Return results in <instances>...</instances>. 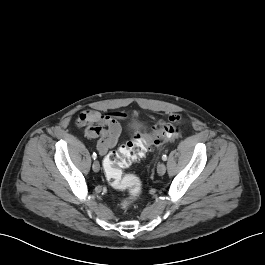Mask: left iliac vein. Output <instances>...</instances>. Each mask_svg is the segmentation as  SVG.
<instances>
[{
	"mask_svg": "<svg viewBox=\"0 0 265 265\" xmlns=\"http://www.w3.org/2000/svg\"><path fill=\"white\" fill-rule=\"evenodd\" d=\"M165 172H166V166H165V164H164V163H160V164L158 165V167H157V173H158L159 175H164Z\"/></svg>",
	"mask_w": 265,
	"mask_h": 265,
	"instance_id": "1",
	"label": "left iliac vein"
}]
</instances>
